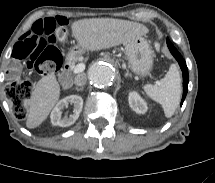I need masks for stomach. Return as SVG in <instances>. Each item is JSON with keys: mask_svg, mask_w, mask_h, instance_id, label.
Masks as SVG:
<instances>
[{"mask_svg": "<svg viewBox=\"0 0 215 183\" xmlns=\"http://www.w3.org/2000/svg\"><path fill=\"white\" fill-rule=\"evenodd\" d=\"M125 52L130 69L140 75H149L153 67V51L143 37H137L125 44ZM83 50L79 45L72 48L67 58L73 60L82 55Z\"/></svg>", "mask_w": 215, "mask_h": 183, "instance_id": "1", "label": "stomach"}]
</instances>
